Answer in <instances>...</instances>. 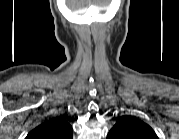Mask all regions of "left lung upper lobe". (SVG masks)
<instances>
[{
    "label": "left lung upper lobe",
    "instance_id": "obj_1",
    "mask_svg": "<svg viewBox=\"0 0 179 139\" xmlns=\"http://www.w3.org/2000/svg\"><path fill=\"white\" fill-rule=\"evenodd\" d=\"M108 139H157L153 129L132 117L119 120L108 134Z\"/></svg>",
    "mask_w": 179,
    "mask_h": 139
}]
</instances>
